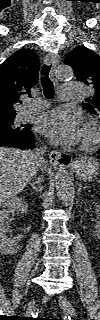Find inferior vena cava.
Wrapping results in <instances>:
<instances>
[{
    "instance_id": "obj_1",
    "label": "inferior vena cava",
    "mask_w": 100,
    "mask_h": 320,
    "mask_svg": "<svg viewBox=\"0 0 100 320\" xmlns=\"http://www.w3.org/2000/svg\"><path fill=\"white\" fill-rule=\"evenodd\" d=\"M45 153H46V150L44 147H40L34 151L36 163H37V170L41 169L44 166V164H46V161L43 156ZM37 180H38L37 184L41 183L43 181V176L38 177ZM39 187L42 189L41 185Z\"/></svg>"
}]
</instances>
